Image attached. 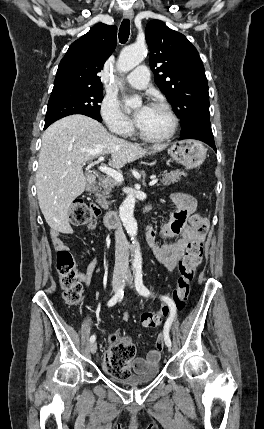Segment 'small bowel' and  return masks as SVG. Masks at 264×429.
<instances>
[{"label": "small bowel", "mask_w": 264, "mask_h": 429, "mask_svg": "<svg viewBox=\"0 0 264 429\" xmlns=\"http://www.w3.org/2000/svg\"><path fill=\"white\" fill-rule=\"evenodd\" d=\"M172 200L177 206V211L172 215L170 221L160 230L153 227H147L145 230L147 243L152 249L156 260L169 272L175 269L187 248L193 244L200 243L203 238L202 233L187 223L189 216L196 210V199L191 194L178 192L172 195ZM95 227L96 221L91 220L88 224V229L94 230ZM71 231V228H67L64 233L69 234ZM51 236L53 245L57 250H67L66 244L60 238L59 231L54 230ZM96 268V263H90L86 270L78 275L79 280L87 287L91 284L92 274ZM123 318L127 320L128 314L124 313ZM109 353L110 350L104 354V357ZM159 360L160 350L153 348L149 350L146 358L138 357L132 360L130 371L138 374L144 373L149 368L157 366Z\"/></svg>", "instance_id": "obj_1"}]
</instances>
